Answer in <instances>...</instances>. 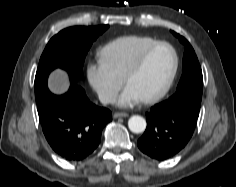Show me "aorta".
<instances>
[{"instance_id": "obj_1", "label": "aorta", "mask_w": 236, "mask_h": 187, "mask_svg": "<svg viewBox=\"0 0 236 187\" xmlns=\"http://www.w3.org/2000/svg\"><path fill=\"white\" fill-rule=\"evenodd\" d=\"M128 127L133 133H142L146 129V120L139 115H134L128 120Z\"/></svg>"}]
</instances>
